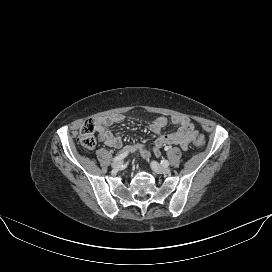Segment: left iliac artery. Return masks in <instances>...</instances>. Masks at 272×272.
Wrapping results in <instances>:
<instances>
[{
	"mask_svg": "<svg viewBox=\"0 0 272 272\" xmlns=\"http://www.w3.org/2000/svg\"><path fill=\"white\" fill-rule=\"evenodd\" d=\"M161 164H162L163 166H168V165H169V162H168L167 160H162V161H161Z\"/></svg>",
	"mask_w": 272,
	"mask_h": 272,
	"instance_id": "1",
	"label": "left iliac artery"
}]
</instances>
